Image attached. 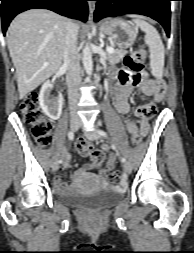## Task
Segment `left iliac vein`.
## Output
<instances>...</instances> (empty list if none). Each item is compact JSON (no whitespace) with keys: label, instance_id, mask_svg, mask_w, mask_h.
I'll use <instances>...</instances> for the list:
<instances>
[{"label":"left iliac vein","instance_id":"left-iliac-vein-1","mask_svg":"<svg viewBox=\"0 0 194 253\" xmlns=\"http://www.w3.org/2000/svg\"><path fill=\"white\" fill-rule=\"evenodd\" d=\"M85 135L90 140H98L100 138V135L96 130L94 131H86ZM124 170L129 174L132 171V167L129 163L124 164Z\"/></svg>","mask_w":194,"mask_h":253}]
</instances>
